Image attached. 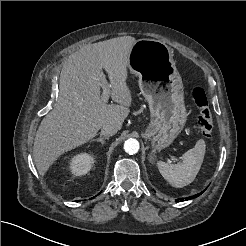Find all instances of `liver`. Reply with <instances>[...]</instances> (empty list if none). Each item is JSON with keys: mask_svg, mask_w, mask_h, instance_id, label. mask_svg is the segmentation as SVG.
Listing matches in <instances>:
<instances>
[{"mask_svg": "<svg viewBox=\"0 0 246 246\" xmlns=\"http://www.w3.org/2000/svg\"><path fill=\"white\" fill-rule=\"evenodd\" d=\"M136 41L131 36L112 38L88 44L68 57L60 73L57 105L41 121L34 140V162L41 176L61 154L95 137L103 125L121 129L132 103L126 79ZM102 69L108 73L110 95L117 104L101 100L106 80Z\"/></svg>", "mask_w": 246, "mask_h": 246, "instance_id": "6515ba94", "label": "liver"}]
</instances>
